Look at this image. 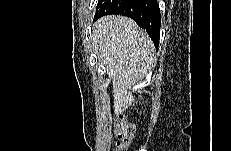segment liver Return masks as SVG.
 <instances>
[{"label":"liver","instance_id":"obj_1","mask_svg":"<svg viewBox=\"0 0 231 151\" xmlns=\"http://www.w3.org/2000/svg\"><path fill=\"white\" fill-rule=\"evenodd\" d=\"M92 43L112 80L114 113H122L135 101L131 89L156 61L153 42L132 19L110 15L95 22Z\"/></svg>","mask_w":231,"mask_h":151}]
</instances>
